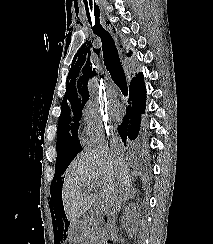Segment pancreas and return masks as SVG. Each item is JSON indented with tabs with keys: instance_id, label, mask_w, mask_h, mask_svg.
I'll use <instances>...</instances> for the list:
<instances>
[{
	"instance_id": "obj_1",
	"label": "pancreas",
	"mask_w": 213,
	"mask_h": 244,
	"mask_svg": "<svg viewBox=\"0 0 213 244\" xmlns=\"http://www.w3.org/2000/svg\"><path fill=\"white\" fill-rule=\"evenodd\" d=\"M102 231L100 220L98 218L90 219L83 227L87 244H98L102 237Z\"/></svg>"
}]
</instances>
